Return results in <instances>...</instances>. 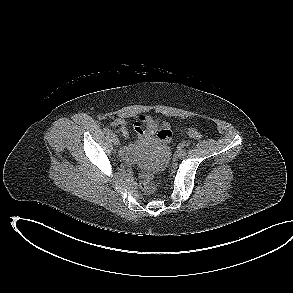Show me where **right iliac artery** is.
Listing matches in <instances>:
<instances>
[{
	"mask_svg": "<svg viewBox=\"0 0 293 293\" xmlns=\"http://www.w3.org/2000/svg\"><path fill=\"white\" fill-rule=\"evenodd\" d=\"M104 132L108 135H111V136L114 135L113 132L109 128H105Z\"/></svg>",
	"mask_w": 293,
	"mask_h": 293,
	"instance_id": "1",
	"label": "right iliac artery"
}]
</instances>
